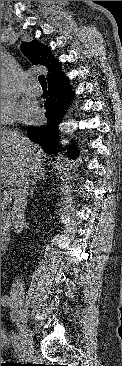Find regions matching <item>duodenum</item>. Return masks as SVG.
Here are the masks:
<instances>
[{
    "label": "duodenum",
    "instance_id": "410a0bca",
    "mask_svg": "<svg viewBox=\"0 0 122 366\" xmlns=\"http://www.w3.org/2000/svg\"><path fill=\"white\" fill-rule=\"evenodd\" d=\"M5 240L1 239V251L4 249V246H5Z\"/></svg>",
    "mask_w": 122,
    "mask_h": 366
}]
</instances>
